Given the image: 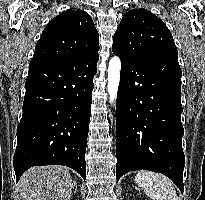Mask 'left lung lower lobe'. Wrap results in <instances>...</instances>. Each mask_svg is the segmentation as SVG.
<instances>
[{"label": "left lung lower lobe", "instance_id": "obj_1", "mask_svg": "<svg viewBox=\"0 0 205 200\" xmlns=\"http://www.w3.org/2000/svg\"><path fill=\"white\" fill-rule=\"evenodd\" d=\"M116 104V179L129 171L168 176L183 192L181 69L176 55L123 57Z\"/></svg>", "mask_w": 205, "mask_h": 200}]
</instances>
